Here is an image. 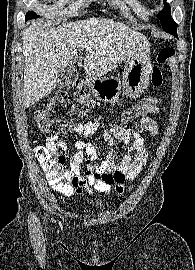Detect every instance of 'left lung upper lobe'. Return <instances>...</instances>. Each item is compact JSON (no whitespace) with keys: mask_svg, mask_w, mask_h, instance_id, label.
<instances>
[{"mask_svg":"<svg viewBox=\"0 0 195 270\" xmlns=\"http://www.w3.org/2000/svg\"><path fill=\"white\" fill-rule=\"evenodd\" d=\"M165 3V8L158 14L162 28L164 31L170 34H177V24L173 21L170 14V7L166 4V0H163Z\"/></svg>","mask_w":195,"mask_h":270,"instance_id":"obj_1","label":"left lung upper lobe"}]
</instances>
